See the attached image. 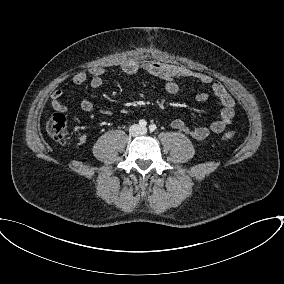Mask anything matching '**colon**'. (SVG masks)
Listing matches in <instances>:
<instances>
[{
    "instance_id": "colon-1",
    "label": "colon",
    "mask_w": 284,
    "mask_h": 284,
    "mask_svg": "<svg viewBox=\"0 0 284 284\" xmlns=\"http://www.w3.org/2000/svg\"><path fill=\"white\" fill-rule=\"evenodd\" d=\"M46 130L52 138L62 140L67 132L66 117L62 113L52 114L46 122ZM234 135V132L229 131L223 134L222 139L228 141L233 139Z\"/></svg>"
}]
</instances>
